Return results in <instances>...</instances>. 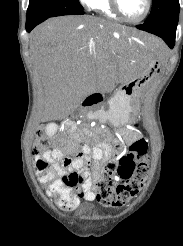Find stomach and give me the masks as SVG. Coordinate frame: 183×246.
<instances>
[{"label":"stomach","mask_w":183,"mask_h":246,"mask_svg":"<svg viewBox=\"0 0 183 246\" xmlns=\"http://www.w3.org/2000/svg\"><path fill=\"white\" fill-rule=\"evenodd\" d=\"M137 50L149 57L144 72L134 80L125 83L108 100L106 109L99 111V120L109 122L114 127L128 124L134 114L138 113L140 102L139 93L147 84L150 77L157 72L155 49L149 42H130Z\"/></svg>","instance_id":"obj_1"}]
</instances>
